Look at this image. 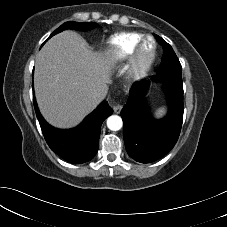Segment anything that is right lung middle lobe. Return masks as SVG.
Returning a JSON list of instances; mask_svg holds the SVG:
<instances>
[{
	"mask_svg": "<svg viewBox=\"0 0 227 227\" xmlns=\"http://www.w3.org/2000/svg\"><path fill=\"white\" fill-rule=\"evenodd\" d=\"M97 24L94 22H66L64 24H62L58 29H56L51 35L50 37H52L53 35L60 33L66 29H75V30H82V31H86V30H91L93 29ZM49 37V38H50ZM48 38V39H49Z\"/></svg>",
	"mask_w": 227,
	"mask_h": 227,
	"instance_id": "obj_1",
	"label": "right lung middle lobe"
}]
</instances>
